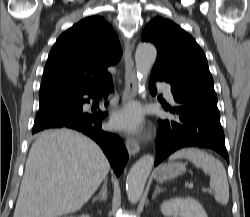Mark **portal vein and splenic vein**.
I'll use <instances>...</instances> for the list:
<instances>
[{"mask_svg": "<svg viewBox=\"0 0 250 217\" xmlns=\"http://www.w3.org/2000/svg\"><path fill=\"white\" fill-rule=\"evenodd\" d=\"M188 186H189V188H192L193 187V183H189ZM203 190H205V191H207L209 193L212 192V190L210 188H203Z\"/></svg>", "mask_w": 250, "mask_h": 217, "instance_id": "1", "label": "portal vein and splenic vein"}]
</instances>
